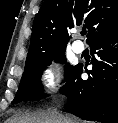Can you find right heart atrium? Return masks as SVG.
<instances>
[{
	"mask_svg": "<svg viewBox=\"0 0 118 123\" xmlns=\"http://www.w3.org/2000/svg\"><path fill=\"white\" fill-rule=\"evenodd\" d=\"M40 84L47 93L55 92L60 85L59 68L54 64L46 66L41 72Z\"/></svg>",
	"mask_w": 118,
	"mask_h": 123,
	"instance_id": "obj_1",
	"label": "right heart atrium"
}]
</instances>
